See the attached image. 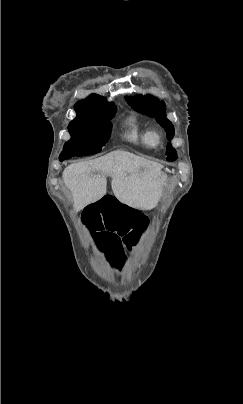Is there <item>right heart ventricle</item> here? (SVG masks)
Wrapping results in <instances>:
<instances>
[{
	"instance_id": "1",
	"label": "right heart ventricle",
	"mask_w": 243,
	"mask_h": 404,
	"mask_svg": "<svg viewBox=\"0 0 243 404\" xmlns=\"http://www.w3.org/2000/svg\"><path fill=\"white\" fill-rule=\"evenodd\" d=\"M122 139L128 145L139 149H156L159 145V142L153 140L151 129L143 125L136 117L127 119Z\"/></svg>"
}]
</instances>
